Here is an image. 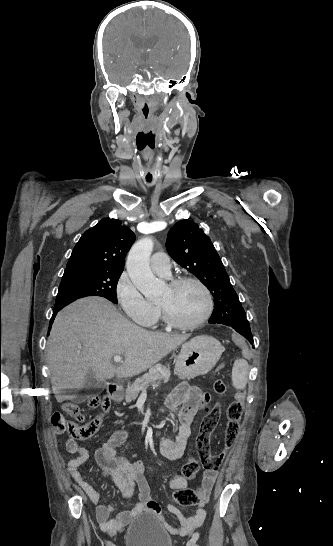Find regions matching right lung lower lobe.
<instances>
[{
	"instance_id": "98d812e1",
	"label": "right lung lower lobe",
	"mask_w": 333,
	"mask_h": 546,
	"mask_svg": "<svg viewBox=\"0 0 333 546\" xmlns=\"http://www.w3.org/2000/svg\"><path fill=\"white\" fill-rule=\"evenodd\" d=\"M60 310H61V309H60ZM58 311H59V310L53 311V316H52V318H51V320H50V325L53 323V320H54V318H55V316H56V314H57ZM49 330H50V328H49Z\"/></svg>"
}]
</instances>
